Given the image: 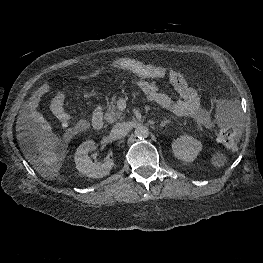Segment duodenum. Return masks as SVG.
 <instances>
[{"instance_id":"1","label":"duodenum","mask_w":263,"mask_h":263,"mask_svg":"<svg viewBox=\"0 0 263 263\" xmlns=\"http://www.w3.org/2000/svg\"><path fill=\"white\" fill-rule=\"evenodd\" d=\"M91 124L95 130H101L103 128L104 119H103L102 109L100 106H97L94 109Z\"/></svg>"}]
</instances>
